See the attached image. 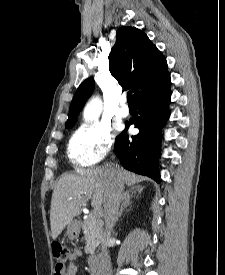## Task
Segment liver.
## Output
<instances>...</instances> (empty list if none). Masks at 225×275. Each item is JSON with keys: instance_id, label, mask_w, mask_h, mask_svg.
<instances>
[{"instance_id": "1", "label": "liver", "mask_w": 225, "mask_h": 275, "mask_svg": "<svg viewBox=\"0 0 225 275\" xmlns=\"http://www.w3.org/2000/svg\"><path fill=\"white\" fill-rule=\"evenodd\" d=\"M111 166L81 170L77 174L63 175L55 184L51 199L50 225L51 236L56 239L63 229L82 211L84 204L91 198L92 206L105 208L110 190ZM123 183L133 186L141 179L126 170L117 168ZM139 189V188H138Z\"/></svg>"}]
</instances>
